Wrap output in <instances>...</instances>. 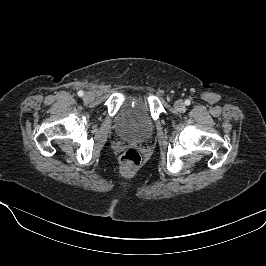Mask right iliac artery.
<instances>
[{
    "mask_svg": "<svg viewBox=\"0 0 266 266\" xmlns=\"http://www.w3.org/2000/svg\"><path fill=\"white\" fill-rule=\"evenodd\" d=\"M83 95H84V92H83V91H81V90L78 91V96H79V97H82Z\"/></svg>",
    "mask_w": 266,
    "mask_h": 266,
    "instance_id": "82829eb1",
    "label": "right iliac artery"
}]
</instances>
